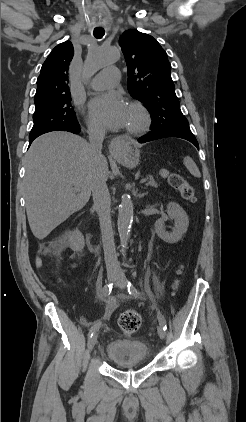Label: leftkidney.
Segmentation results:
<instances>
[{"mask_svg":"<svg viewBox=\"0 0 246 422\" xmlns=\"http://www.w3.org/2000/svg\"><path fill=\"white\" fill-rule=\"evenodd\" d=\"M167 214V217L159 218L155 222V231L163 241L170 244L177 243L187 232L189 218L184 209L176 202L168 203ZM167 218L174 220V227L170 233L165 230L164 226Z\"/></svg>","mask_w":246,"mask_h":422,"instance_id":"obj_1","label":"left kidney"}]
</instances>
